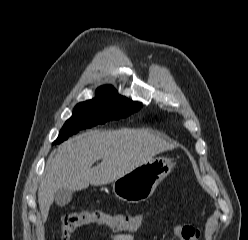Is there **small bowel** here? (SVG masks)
<instances>
[{
    "label": "small bowel",
    "mask_w": 248,
    "mask_h": 240,
    "mask_svg": "<svg viewBox=\"0 0 248 240\" xmlns=\"http://www.w3.org/2000/svg\"><path fill=\"white\" fill-rule=\"evenodd\" d=\"M200 231L188 224L175 225L173 228V236L164 240H198ZM111 240H137L134 233H113L110 235Z\"/></svg>",
    "instance_id": "1"
}]
</instances>
